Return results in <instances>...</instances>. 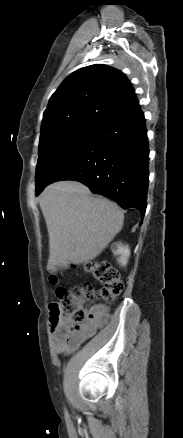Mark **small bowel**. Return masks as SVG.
Here are the masks:
<instances>
[{"mask_svg": "<svg viewBox=\"0 0 183 438\" xmlns=\"http://www.w3.org/2000/svg\"><path fill=\"white\" fill-rule=\"evenodd\" d=\"M108 319L107 307L96 305L88 311L87 320L79 331H73L68 323L60 322L53 328V342L56 352L64 353L74 350L86 339L95 335L108 322Z\"/></svg>", "mask_w": 183, "mask_h": 438, "instance_id": "c3829d8e", "label": "small bowel"}]
</instances>
